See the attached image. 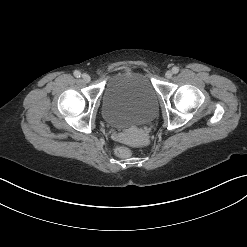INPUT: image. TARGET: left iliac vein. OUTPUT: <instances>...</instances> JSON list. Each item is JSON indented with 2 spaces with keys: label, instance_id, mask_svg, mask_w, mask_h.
<instances>
[{
  "label": "left iliac vein",
  "instance_id": "obj_1",
  "mask_svg": "<svg viewBox=\"0 0 247 247\" xmlns=\"http://www.w3.org/2000/svg\"><path fill=\"white\" fill-rule=\"evenodd\" d=\"M172 75H173V72L172 71H167L166 73H165V77L167 78V79H170L171 77H172Z\"/></svg>",
  "mask_w": 247,
  "mask_h": 247
}]
</instances>
